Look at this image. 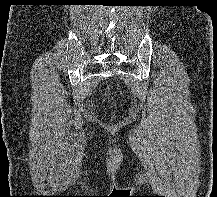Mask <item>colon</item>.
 I'll return each mask as SVG.
<instances>
[{"instance_id": "5ec220e1", "label": "colon", "mask_w": 217, "mask_h": 197, "mask_svg": "<svg viewBox=\"0 0 217 197\" xmlns=\"http://www.w3.org/2000/svg\"><path fill=\"white\" fill-rule=\"evenodd\" d=\"M106 101H107V102H110V101H111V98H110V95H109V94H106Z\"/></svg>"}]
</instances>
